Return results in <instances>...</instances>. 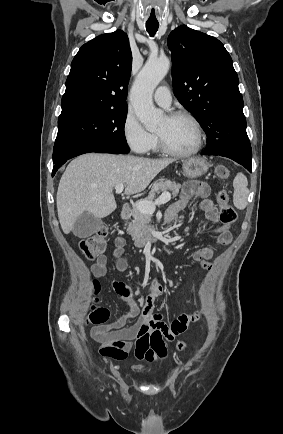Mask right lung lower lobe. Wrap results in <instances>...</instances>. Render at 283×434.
<instances>
[{
	"label": "right lung lower lobe",
	"mask_w": 283,
	"mask_h": 434,
	"mask_svg": "<svg viewBox=\"0 0 283 434\" xmlns=\"http://www.w3.org/2000/svg\"><path fill=\"white\" fill-rule=\"evenodd\" d=\"M89 152H97V153H112V154H119V151L110 149V148H106V147H90V148H84L81 150H78L74 153H72L71 155H69L68 157H66L65 159L57 162L54 164L53 167V171H52V176L55 175V173L57 172V170L68 160L71 159L73 157H76L78 155L84 154V153H89Z\"/></svg>",
	"instance_id": "1"
}]
</instances>
